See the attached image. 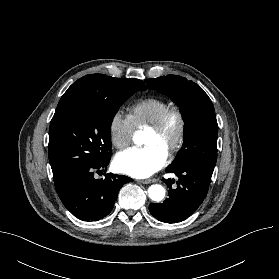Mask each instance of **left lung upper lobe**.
<instances>
[{"mask_svg": "<svg viewBox=\"0 0 279 279\" xmlns=\"http://www.w3.org/2000/svg\"><path fill=\"white\" fill-rule=\"evenodd\" d=\"M168 95L183 115L184 143L169 168L194 167L212 175L217 160L218 125L213 104L196 83L176 75L145 80Z\"/></svg>", "mask_w": 279, "mask_h": 279, "instance_id": "1", "label": "left lung upper lobe"}]
</instances>
